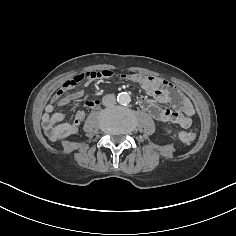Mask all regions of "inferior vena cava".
<instances>
[{
	"mask_svg": "<svg viewBox=\"0 0 236 236\" xmlns=\"http://www.w3.org/2000/svg\"><path fill=\"white\" fill-rule=\"evenodd\" d=\"M102 103L106 107H112L116 103L115 96L112 94L105 95L102 99Z\"/></svg>",
	"mask_w": 236,
	"mask_h": 236,
	"instance_id": "inferior-vena-cava-1",
	"label": "inferior vena cava"
}]
</instances>
